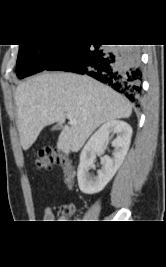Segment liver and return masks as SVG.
Listing matches in <instances>:
<instances>
[{
  "label": "liver",
  "mask_w": 166,
  "mask_h": 267,
  "mask_svg": "<svg viewBox=\"0 0 166 267\" xmlns=\"http://www.w3.org/2000/svg\"><path fill=\"white\" fill-rule=\"evenodd\" d=\"M20 143L28 150L41 130L50 124H64L71 114L76 125H65L57 149L78 152L101 124L132 113L130 103L108 86L72 73L44 72L19 84L15 92Z\"/></svg>",
  "instance_id": "obj_1"
}]
</instances>
